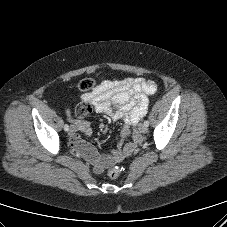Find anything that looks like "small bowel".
I'll return each instance as SVG.
<instances>
[{
    "mask_svg": "<svg viewBox=\"0 0 227 227\" xmlns=\"http://www.w3.org/2000/svg\"><path fill=\"white\" fill-rule=\"evenodd\" d=\"M156 90L157 86L151 80L141 77L123 78L105 80L82 96L84 103L80 104L75 111L78 118L73 121L75 132L70 137V146L93 164L95 173H102L107 166L123 160L134 151L140 141L135 127L145 116L149 96ZM92 110L124 122L119 147L111 154H99L80 136V133L87 136L92 134L90 123L83 119ZM128 137L132 140L125 142Z\"/></svg>",
    "mask_w": 227,
    "mask_h": 227,
    "instance_id": "small-bowel-1",
    "label": "small bowel"
}]
</instances>
